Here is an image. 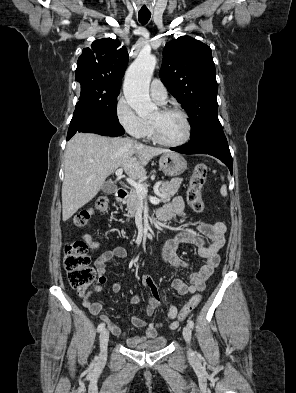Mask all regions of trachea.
I'll return each mask as SVG.
<instances>
[{"mask_svg":"<svg viewBox=\"0 0 296 393\" xmlns=\"http://www.w3.org/2000/svg\"><path fill=\"white\" fill-rule=\"evenodd\" d=\"M138 17H139V22L142 25H145L149 21V19L151 17V13L150 12H139Z\"/></svg>","mask_w":296,"mask_h":393,"instance_id":"3493384b","label":"trachea"}]
</instances>
